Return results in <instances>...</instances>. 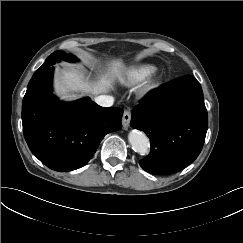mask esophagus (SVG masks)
Segmentation results:
<instances>
[{"label":"esophagus","instance_id":"1","mask_svg":"<svg viewBox=\"0 0 243 243\" xmlns=\"http://www.w3.org/2000/svg\"><path fill=\"white\" fill-rule=\"evenodd\" d=\"M131 120V112L130 110H124L123 117H122V125L124 129H127L129 127Z\"/></svg>","mask_w":243,"mask_h":243}]
</instances>
